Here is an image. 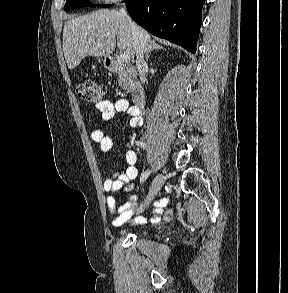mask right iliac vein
Listing matches in <instances>:
<instances>
[{
    "label": "right iliac vein",
    "mask_w": 288,
    "mask_h": 293,
    "mask_svg": "<svg viewBox=\"0 0 288 293\" xmlns=\"http://www.w3.org/2000/svg\"><path fill=\"white\" fill-rule=\"evenodd\" d=\"M165 182V177L162 174L157 175L151 185L149 194L145 200L144 205L139 209L138 213H141L144 211V209L152 202L154 197L157 195V193L160 191L162 185Z\"/></svg>",
    "instance_id": "obj_1"
}]
</instances>
